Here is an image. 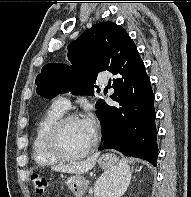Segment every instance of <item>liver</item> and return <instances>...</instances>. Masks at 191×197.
<instances>
[{"mask_svg":"<svg viewBox=\"0 0 191 197\" xmlns=\"http://www.w3.org/2000/svg\"><path fill=\"white\" fill-rule=\"evenodd\" d=\"M98 157H99V154L96 153L84 161L73 162V163L66 164V165L53 166L52 170L58 171V172H66V173L84 174L94 167Z\"/></svg>","mask_w":191,"mask_h":197,"instance_id":"1","label":"liver"}]
</instances>
